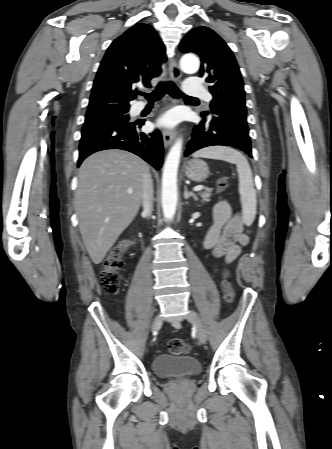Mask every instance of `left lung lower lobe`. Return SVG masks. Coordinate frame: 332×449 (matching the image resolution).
Listing matches in <instances>:
<instances>
[{
  "mask_svg": "<svg viewBox=\"0 0 332 449\" xmlns=\"http://www.w3.org/2000/svg\"><path fill=\"white\" fill-rule=\"evenodd\" d=\"M223 145L238 148L252 158L251 140L246 116L214 112L194 127L185 156L208 146Z\"/></svg>",
  "mask_w": 332,
  "mask_h": 449,
  "instance_id": "left-lung-lower-lobe-1",
  "label": "left lung lower lobe"
}]
</instances>
